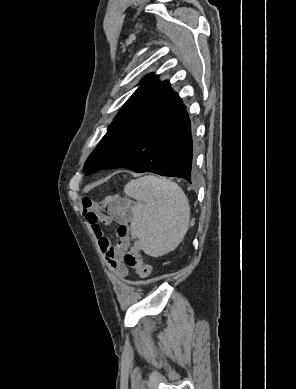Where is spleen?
Listing matches in <instances>:
<instances>
[{
  "instance_id": "3e777b00",
  "label": "spleen",
  "mask_w": 296,
  "mask_h": 389,
  "mask_svg": "<svg viewBox=\"0 0 296 389\" xmlns=\"http://www.w3.org/2000/svg\"><path fill=\"white\" fill-rule=\"evenodd\" d=\"M124 192L137 201L131 221L136 245L152 257L174 250L189 226L190 208L183 190L171 180L149 175L128 182Z\"/></svg>"
}]
</instances>
